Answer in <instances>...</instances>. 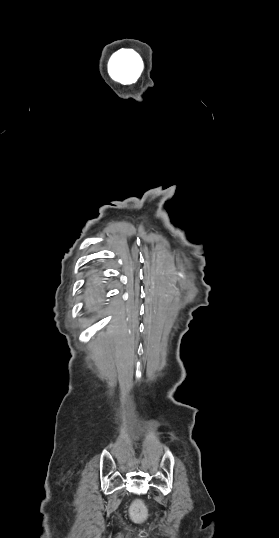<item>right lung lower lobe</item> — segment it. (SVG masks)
Instances as JSON below:
<instances>
[{"label": "right lung lower lobe", "instance_id": "1", "mask_svg": "<svg viewBox=\"0 0 279 538\" xmlns=\"http://www.w3.org/2000/svg\"><path fill=\"white\" fill-rule=\"evenodd\" d=\"M85 293L88 300L89 315L97 316L101 313L105 303V284L102 276L95 270H90L85 283Z\"/></svg>", "mask_w": 279, "mask_h": 538}]
</instances>
